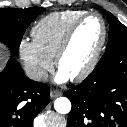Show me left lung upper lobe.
I'll list each match as a JSON object with an SVG mask.
<instances>
[{"instance_id": "5c2ea615", "label": "left lung upper lobe", "mask_w": 127, "mask_h": 127, "mask_svg": "<svg viewBox=\"0 0 127 127\" xmlns=\"http://www.w3.org/2000/svg\"><path fill=\"white\" fill-rule=\"evenodd\" d=\"M110 25L108 44L103 56H108L113 50L127 46V27L120 23L110 12L107 13Z\"/></svg>"}]
</instances>
